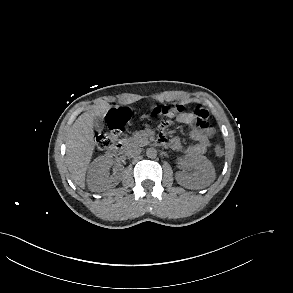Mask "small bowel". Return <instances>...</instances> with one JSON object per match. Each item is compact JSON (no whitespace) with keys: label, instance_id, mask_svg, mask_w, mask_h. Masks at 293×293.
Returning <instances> with one entry per match:
<instances>
[{"label":"small bowel","instance_id":"obj_1","mask_svg":"<svg viewBox=\"0 0 293 293\" xmlns=\"http://www.w3.org/2000/svg\"><path fill=\"white\" fill-rule=\"evenodd\" d=\"M175 121L177 123H185L191 127L190 137L196 143L183 147L178 138L167 139L164 137L160 138V142L166 144L172 150L188 155L204 154L210 146L213 130L200 122L194 113L183 112L176 117Z\"/></svg>","mask_w":293,"mask_h":293}]
</instances>
